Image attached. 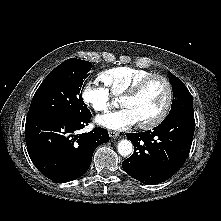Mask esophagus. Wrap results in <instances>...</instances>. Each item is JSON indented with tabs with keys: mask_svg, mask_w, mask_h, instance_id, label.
I'll use <instances>...</instances> for the list:
<instances>
[{
	"mask_svg": "<svg viewBox=\"0 0 221 221\" xmlns=\"http://www.w3.org/2000/svg\"><path fill=\"white\" fill-rule=\"evenodd\" d=\"M109 136H110L111 138H116V137L119 136V133L116 132V131H109Z\"/></svg>",
	"mask_w": 221,
	"mask_h": 221,
	"instance_id": "obj_1",
	"label": "esophagus"
}]
</instances>
